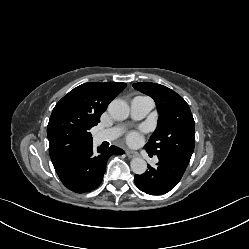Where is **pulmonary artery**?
<instances>
[{
    "instance_id": "pulmonary-artery-1",
    "label": "pulmonary artery",
    "mask_w": 249,
    "mask_h": 249,
    "mask_svg": "<svg viewBox=\"0 0 249 249\" xmlns=\"http://www.w3.org/2000/svg\"><path fill=\"white\" fill-rule=\"evenodd\" d=\"M154 102L150 97L147 96H136L131 100L130 112L131 116L135 120L144 118L153 108ZM123 128L115 126L96 134V140L98 142L112 141L119 137L122 133Z\"/></svg>"
}]
</instances>
